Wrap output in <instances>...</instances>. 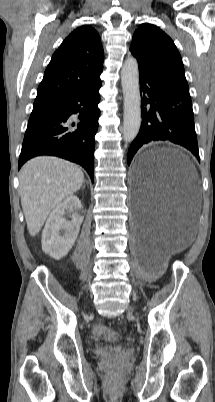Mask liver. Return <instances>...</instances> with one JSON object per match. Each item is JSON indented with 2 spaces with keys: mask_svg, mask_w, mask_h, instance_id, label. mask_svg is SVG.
Here are the masks:
<instances>
[{
  "mask_svg": "<svg viewBox=\"0 0 215 402\" xmlns=\"http://www.w3.org/2000/svg\"><path fill=\"white\" fill-rule=\"evenodd\" d=\"M19 181L27 229L31 236H35L52 209L81 188L84 174L73 163L40 156L24 164Z\"/></svg>",
  "mask_w": 215,
  "mask_h": 402,
  "instance_id": "6515ba94",
  "label": "liver"
}]
</instances>
